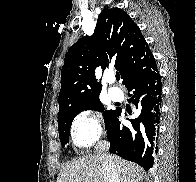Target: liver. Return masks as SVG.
<instances>
[{
    "instance_id": "obj_1",
    "label": "liver",
    "mask_w": 196,
    "mask_h": 182,
    "mask_svg": "<svg viewBox=\"0 0 196 182\" xmlns=\"http://www.w3.org/2000/svg\"><path fill=\"white\" fill-rule=\"evenodd\" d=\"M116 165L120 182H141L143 169L123 160L116 155H109ZM56 182H104L102 159L97 154L86 155L63 167Z\"/></svg>"
}]
</instances>
